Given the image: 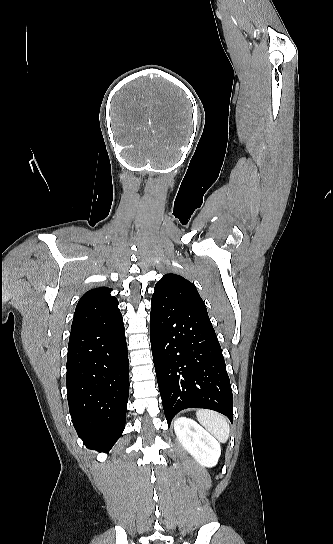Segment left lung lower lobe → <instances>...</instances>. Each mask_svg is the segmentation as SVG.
I'll return each instance as SVG.
<instances>
[{"label":"left lung lower lobe","instance_id":"0a47b994","mask_svg":"<svg viewBox=\"0 0 333 544\" xmlns=\"http://www.w3.org/2000/svg\"><path fill=\"white\" fill-rule=\"evenodd\" d=\"M150 340L168 425L186 408H206L233 422V394L207 310L151 302Z\"/></svg>","mask_w":333,"mask_h":544}]
</instances>
